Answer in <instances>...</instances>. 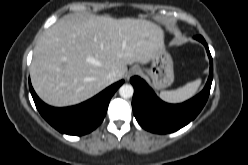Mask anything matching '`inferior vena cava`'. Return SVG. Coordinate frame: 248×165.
I'll return each mask as SVG.
<instances>
[{
    "label": "inferior vena cava",
    "instance_id": "obj_1",
    "mask_svg": "<svg viewBox=\"0 0 248 165\" xmlns=\"http://www.w3.org/2000/svg\"><path fill=\"white\" fill-rule=\"evenodd\" d=\"M107 79H108L111 83L115 82L116 79H117V72H115V71L109 72V74L107 75Z\"/></svg>",
    "mask_w": 248,
    "mask_h": 165
}]
</instances>
